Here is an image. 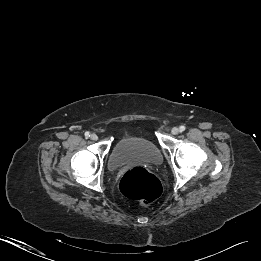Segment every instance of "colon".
Instances as JSON below:
<instances>
[{"label": "colon", "instance_id": "obj_1", "mask_svg": "<svg viewBox=\"0 0 261 261\" xmlns=\"http://www.w3.org/2000/svg\"><path fill=\"white\" fill-rule=\"evenodd\" d=\"M121 193L142 204H149L162 193L160 180L143 167L127 171L120 180Z\"/></svg>", "mask_w": 261, "mask_h": 261}]
</instances>
